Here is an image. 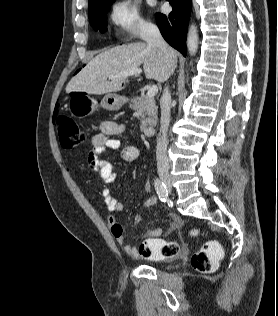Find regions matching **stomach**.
I'll return each instance as SVG.
<instances>
[{"instance_id": "stomach-1", "label": "stomach", "mask_w": 278, "mask_h": 316, "mask_svg": "<svg viewBox=\"0 0 278 316\" xmlns=\"http://www.w3.org/2000/svg\"><path fill=\"white\" fill-rule=\"evenodd\" d=\"M126 98L115 95L106 94L100 103V106L107 110H118L125 102ZM98 107L96 100L85 94L70 93L68 108L72 116L83 118L92 114Z\"/></svg>"}]
</instances>
